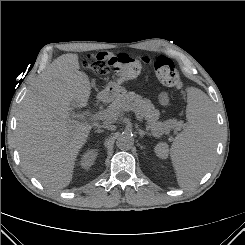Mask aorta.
<instances>
[{
  "instance_id": "obj_1",
  "label": "aorta",
  "mask_w": 245,
  "mask_h": 245,
  "mask_svg": "<svg viewBox=\"0 0 245 245\" xmlns=\"http://www.w3.org/2000/svg\"><path fill=\"white\" fill-rule=\"evenodd\" d=\"M134 144V139L129 133H122L116 140V145L121 150H128Z\"/></svg>"
}]
</instances>
